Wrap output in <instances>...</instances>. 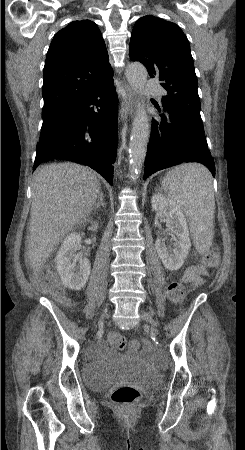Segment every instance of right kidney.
<instances>
[{
	"mask_svg": "<svg viewBox=\"0 0 245 450\" xmlns=\"http://www.w3.org/2000/svg\"><path fill=\"white\" fill-rule=\"evenodd\" d=\"M97 228L98 224L91 226L93 231ZM80 243V234L71 233L63 240L55 258L57 271L63 285L75 291L81 290L85 286L91 271L89 260L76 253Z\"/></svg>",
	"mask_w": 245,
	"mask_h": 450,
	"instance_id": "ca27d5eb",
	"label": "right kidney"
}]
</instances>
